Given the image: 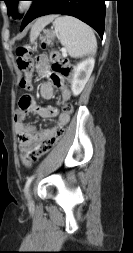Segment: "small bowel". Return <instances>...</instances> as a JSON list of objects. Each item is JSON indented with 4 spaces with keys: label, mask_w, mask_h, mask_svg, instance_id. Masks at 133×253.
Returning a JSON list of instances; mask_svg holds the SVG:
<instances>
[{
    "label": "small bowel",
    "mask_w": 133,
    "mask_h": 253,
    "mask_svg": "<svg viewBox=\"0 0 133 253\" xmlns=\"http://www.w3.org/2000/svg\"><path fill=\"white\" fill-rule=\"evenodd\" d=\"M50 56L41 55L37 59L36 72L39 77L47 79L40 86V94L44 99H51L56 89L60 90V100L66 103L71 98V92L64 84L63 78L55 75L49 68L48 61ZM30 113H35L43 118L57 116L54 126L38 131L36 127L26 122ZM70 116L61 113L53 107H44L36 104L32 98V93H23L19 100V107L15 111V130L19 138V149L21 160L26 165H30V155L40 144L53 136L59 129L63 128L69 122Z\"/></svg>",
    "instance_id": "c3829d8e"
}]
</instances>
